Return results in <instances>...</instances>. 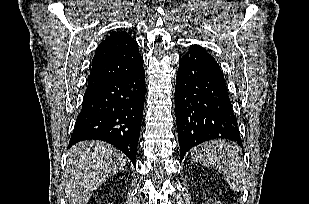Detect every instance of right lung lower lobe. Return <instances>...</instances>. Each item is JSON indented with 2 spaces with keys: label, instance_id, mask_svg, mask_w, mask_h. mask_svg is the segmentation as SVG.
Returning a JSON list of instances; mask_svg holds the SVG:
<instances>
[{
  "label": "right lung lower lobe",
  "instance_id": "1",
  "mask_svg": "<svg viewBox=\"0 0 309 204\" xmlns=\"http://www.w3.org/2000/svg\"><path fill=\"white\" fill-rule=\"evenodd\" d=\"M144 100L143 65L87 88L68 147L83 140L106 141L120 149L136 166Z\"/></svg>",
  "mask_w": 309,
  "mask_h": 204
}]
</instances>
